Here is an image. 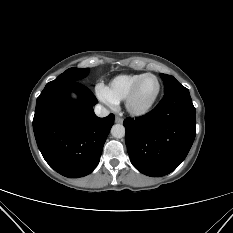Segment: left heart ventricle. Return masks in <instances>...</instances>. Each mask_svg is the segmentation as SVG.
I'll use <instances>...</instances> for the list:
<instances>
[{
    "label": "left heart ventricle",
    "instance_id": "1",
    "mask_svg": "<svg viewBox=\"0 0 233 233\" xmlns=\"http://www.w3.org/2000/svg\"><path fill=\"white\" fill-rule=\"evenodd\" d=\"M156 92L157 81L152 77L144 79L137 91L136 97L134 99V105L137 107L147 105L153 99Z\"/></svg>",
    "mask_w": 233,
    "mask_h": 233
}]
</instances>
